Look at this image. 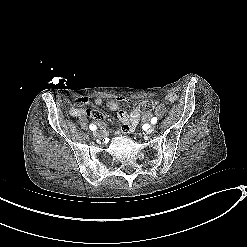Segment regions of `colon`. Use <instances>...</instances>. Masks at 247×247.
Returning <instances> with one entry per match:
<instances>
[{
    "label": "colon",
    "mask_w": 247,
    "mask_h": 247,
    "mask_svg": "<svg viewBox=\"0 0 247 247\" xmlns=\"http://www.w3.org/2000/svg\"><path fill=\"white\" fill-rule=\"evenodd\" d=\"M140 109L143 112L151 113V112L160 110L161 109V104L159 102H156V101H148V100H146V101H142L140 103Z\"/></svg>",
    "instance_id": "colon-1"
}]
</instances>
